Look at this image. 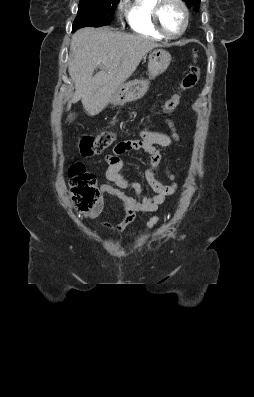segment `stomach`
<instances>
[{
	"label": "stomach",
	"instance_id": "1",
	"mask_svg": "<svg viewBox=\"0 0 254 397\" xmlns=\"http://www.w3.org/2000/svg\"><path fill=\"white\" fill-rule=\"evenodd\" d=\"M171 56L164 49H154L148 57L149 79L162 74L170 65ZM149 88V80L133 79L119 86L112 94L111 103L122 105L141 99Z\"/></svg>",
	"mask_w": 254,
	"mask_h": 397
}]
</instances>
